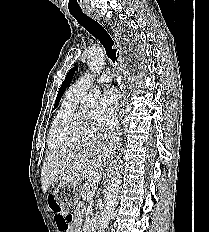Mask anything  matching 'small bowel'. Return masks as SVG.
I'll return each instance as SVG.
<instances>
[{
	"label": "small bowel",
	"mask_w": 209,
	"mask_h": 232,
	"mask_svg": "<svg viewBox=\"0 0 209 232\" xmlns=\"http://www.w3.org/2000/svg\"><path fill=\"white\" fill-rule=\"evenodd\" d=\"M80 224H81V211L77 210L68 227L65 229H61V228L59 229L64 232H80Z\"/></svg>",
	"instance_id": "c3829d8e"
}]
</instances>
